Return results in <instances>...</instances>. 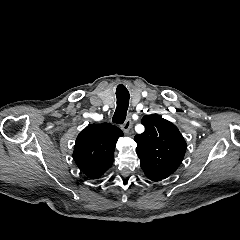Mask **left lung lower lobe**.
I'll return each instance as SVG.
<instances>
[{"mask_svg": "<svg viewBox=\"0 0 240 240\" xmlns=\"http://www.w3.org/2000/svg\"><path fill=\"white\" fill-rule=\"evenodd\" d=\"M144 173L147 176V178L150 179L151 181L158 182V181L163 180L161 177L156 176V175H154L152 173H148V172H144Z\"/></svg>", "mask_w": 240, "mask_h": 240, "instance_id": "1", "label": "left lung lower lobe"}]
</instances>
